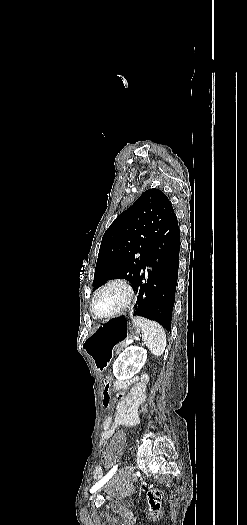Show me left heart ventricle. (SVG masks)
<instances>
[{"mask_svg":"<svg viewBox=\"0 0 247 525\" xmlns=\"http://www.w3.org/2000/svg\"><path fill=\"white\" fill-rule=\"evenodd\" d=\"M125 299L126 292L124 289L107 287L96 297L95 308L99 313H105L119 307Z\"/></svg>","mask_w":247,"mask_h":525,"instance_id":"obj_1","label":"left heart ventricle"}]
</instances>
